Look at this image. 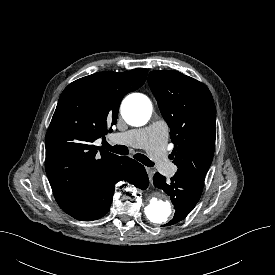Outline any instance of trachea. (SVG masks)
Here are the masks:
<instances>
[{
    "label": "trachea",
    "mask_w": 275,
    "mask_h": 275,
    "mask_svg": "<svg viewBox=\"0 0 275 275\" xmlns=\"http://www.w3.org/2000/svg\"><path fill=\"white\" fill-rule=\"evenodd\" d=\"M103 148L120 155H127L129 153L128 148L124 145L111 146L107 142H105L103 144ZM133 158H135L136 160H138L139 162H141L142 164L148 167H152L154 165V163L150 161L149 158L143 154L137 153L133 156Z\"/></svg>",
    "instance_id": "obj_1"
}]
</instances>
